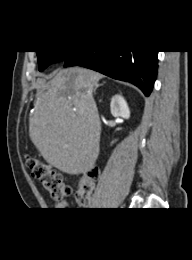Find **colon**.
<instances>
[{"mask_svg":"<svg viewBox=\"0 0 192 260\" xmlns=\"http://www.w3.org/2000/svg\"><path fill=\"white\" fill-rule=\"evenodd\" d=\"M26 164L34 178L40 181L44 190L54 201L64 200L69 196L71 189L64 182L63 177L50 165L34 156L26 158ZM99 171L93 169L79 179L78 190L75 194V202L79 206H86L90 200V194L98 179Z\"/></svg>","mask_w":192,"mask_h":260,"instance_id":"5ec220e1","label":"colon"}]
</instances>
